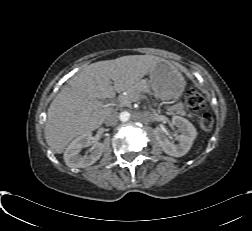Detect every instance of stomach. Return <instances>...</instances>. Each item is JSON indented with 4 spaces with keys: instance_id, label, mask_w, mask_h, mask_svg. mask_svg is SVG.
Instances as JSON below:
<instances>
[{
    "instance_id": "stomach-1",
    "label": "stomach",
    "mask_w": 252,
    "mask_h": 231,
    "mask_svg": "<svg viewBox=\"0 0 252 231\" xmlns=\"http://www.w3.org/2000/svg\"><path fill=\"white\" fill-rule=\"evenodd\" d=\"M149 85L156 97L162 100H178L185 88V81L176 67L160 60L149 72Z\"/></svg>"
}]
</instances>
